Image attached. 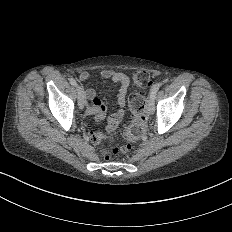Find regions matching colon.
<instances>
[{
    "instance_id": "5ec220e1",
    "label": "colon",
    "mask_w": 232,
    "mask_h": 232,
    "mask_svg": "<svg viewBox=\"0 0 232 232\" xmlns=\"http://www.w3.org/2000/svg\"><path fill=\"white\" fill-rule=\"evenodd\" d=\"M152 71H136L132 74V79L138 84L133 88V93L129 96V101L133 106L132 122L125 128V137L130 143H139L143 139L144 130L147 127L148 106L141 98L146 93V86H151L149 76ZM131 153L129 146L119 147L118 149H101V158H120Z\"/></svg>"
}]
</instances>
